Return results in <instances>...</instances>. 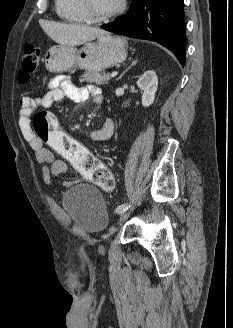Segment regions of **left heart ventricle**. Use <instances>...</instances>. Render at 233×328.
I'll return each instance as SVG.
<instances>
[{
    "label": "left heart ventricle",
    "instance_id": "obj_1",
    "mask_svg": "<svg viewBox=\"0 0 233 328\" xmlns=\"http://www.w3.org/2000/svg\"><path fill=\"white\" fill-rule=\"evenodd\" d=\"M94 15H103L117 7L120 0H88Z\"/></svg>",
    "mask_w": 233,
    "mask_h": 328
}]
</instances>
